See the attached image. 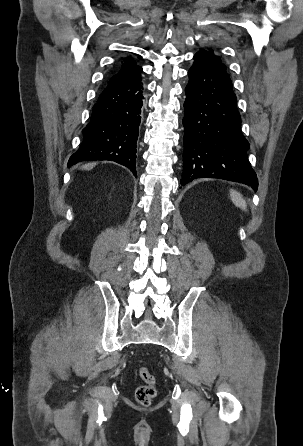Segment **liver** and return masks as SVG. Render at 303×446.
<instances>
[{
  "label": "liver",
  "instance_id": "1",
  "mask_svg": "<svg viewBox=\"0 0 303 446\" xmlns=\"http://www.w3.org/2000/svg\"><path fill=\"white\" fill-rule=\"evenodd\" d=\"M95 165H96L95 163H88V164L83 165L82 169H84V170H91V169H93V167Z\"/></svg>",
  "mask_w": 303,
  "mask_h": 446
}]
</instances>
